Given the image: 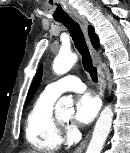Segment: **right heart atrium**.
Here are the masks:
<instances>
[{
  "label": "right heart atrium",
  "instance_id": "right-heart-atrium-1",
  "mask_svg": "<svg viewBox=\"0 0 130 153\" xmlns=\"http://www.w3.org/2000/svg\"><path fill=\"white\" fill-rule=\"evenodd\" d=\"M65 134L67 135V137H70L73 132H74V127L71 125H66L64 128Z\"/></svg>",
  "mask_w": 130,
  "mask_h": 153
}]
</instances>
